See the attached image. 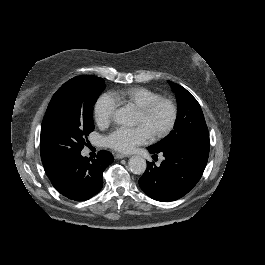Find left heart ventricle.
I'll return each mask as SVG.
<instances>
[{"instance_id":"obj_1","label":"left heart ventricle","mask_w":265,"mask_h":265,"mask_svg":"<svg viewBox=\"0 0 265 265\" xmlns=\"http://www.w3.org/2000/svg\"><path fill=\"white\" fill-rule=\"evenodd\" d=\"M169 119V110L164 105H159L149 117H143L139 112L136 117V124L144 125L154 135L165 126Z\"/></svg>"}]
</instances>
